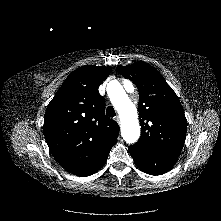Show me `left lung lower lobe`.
<instances>
[{"label": "left lung lower lobe", "mask_w": 221, "mask_h": 221, "mask_svg": "<svg viewBox=\"0 0 221 221\" xmlns=\"http://www.w3.org/2000/svg\"><path fill=\"white\" fill-rule=\"evenodd\" d=\"M129 152L133 157L135 164L143 172L150 175L166 173L178 160L177 157L160 154L138 143L129 146Z\"/></svg>", "instance_id": "left-lung-lower-lobe-1"}]
</instances>
